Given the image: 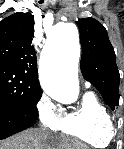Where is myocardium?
Here are the masks:
<instances>
[{
  "label": "myocardium",
  "instance_id": "obj_1",
  "mask_svg": "<svg viewBox=\"0 0 124 149\" xmlns=\"http://www.w3.org/2000/svg\"><path fill=\"white\" fill-rule=\"evenodd\" d=\"M106 129L108 130V132H110L111 134H113V124L111 121H109L107 124H106Z\"/></svg>",
  "mask_w": 124,
  "mask_h": 149
}]
</instances>
